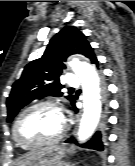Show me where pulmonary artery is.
<instances>
[{
    "label": "pulmonary artery",
    "instance_id": "pulmonary-artery-1",
    "mask_svg": "<svg viewBox=\"0 0 135 166\" xmlns=\"http://www.w3.org/2000/svg\"><path fill=\"white\" fill-rule=\"evenodd\" d=\"M66 82L72 87L79 85V79L73 73H67Z\"/></svg>",
    "mask_w": 135,
    "mask_h": 166
}]
</instances>
